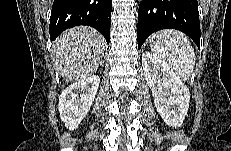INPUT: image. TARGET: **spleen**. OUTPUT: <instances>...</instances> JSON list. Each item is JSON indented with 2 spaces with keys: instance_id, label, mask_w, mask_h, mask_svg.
I'll use <instances>...</instances> for the list:
<instances>
[{
  "instance_id": "3e777b00",
  "label": "spleen",
  "mask_w": 231,
  "mask_h": 151,
  "mask_svg": "<svg viewBox=\"0 0 231 151\" xmlns=\"http://www.w3.org/2000/svg\"><path fill=\"white\" fill-rule=\"evenodd\" d=\"M151 51L167 63L182 81L190 78L195 68L196 56L188 38L177 30H162L152 34Z\"/></svg>"
}]
</instances>
